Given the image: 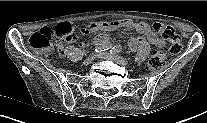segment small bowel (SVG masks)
Segmentation results:
<instances>
[{"label":"small bowel","instance_id":"small-bowel-1","mask_svg":"<svg viewBox=\"0 0 207 123\" xmlns=\"http://www.w3.org/2000/svg\"><path fill=\"white\" fill-rule=\"evenodd\" d=\"M117 29L135 30L137 33L140 34V36L136 38H131L128 41V47L132 51H135L140 46L145 45L146 42H149L158 49L164 46V41L152 30L149 24L145 22H134L130 19L111 22H94L86 27L81 28L80 34L87 35L89 33H99L95 39V43L98 45L100 43H106L108 41V36L103 32L115 31ZM76 40L77 37L69 42H75ZM57 47L59 48L60 54L64 55V42L58 41Z\"/></svg>","mask_w":207,"mask_h":123}]
</instances>
